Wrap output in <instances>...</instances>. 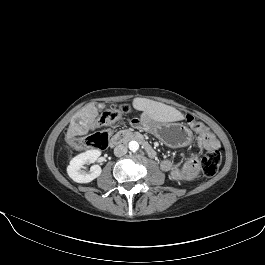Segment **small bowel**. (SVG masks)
I'll list each match as a JSON object with an SVG mask.
<instances>
[{
  "instance_id": "small-bowel-1",
  "label": "small bowel",
  "mask_w": 265,
  "mask_h": 265,
  "mask_svg": "<svg viewBox=\"0 0 265 265\" xmlns=\"http://www.w3.org/2000/svg\"><path fill=\"white\" fill-rule=\"evenodd\" d=\"M198 145L203 149L217 148L219 143L214 134L207 129L200 133L198 138ZM199 158L196 154L190 155L182 165H177L169 159L161 162V169L168 173L171 178L177 182H184L191 180L198 174Z\"/></svg>"
}]
</instances>
